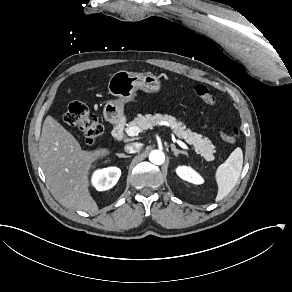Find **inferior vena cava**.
Returning <instances> with one entry per match:
<instances>
[{"instance_id":"1","label":"inferior vena cava","mask_w":292,"mask_h":292,"mask_svg":"<svg viewBox=\"0 0 292 292\" xmlns=\"http://www.w3.org/2000/svg\"><path fill=\"white\" fill-rule=\"evenodd\" d=\"M142 145L140 143H129L125 146V151L127 153L133 154V153H137L141 150Z\"/></svg>"}]
</instances>
